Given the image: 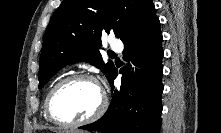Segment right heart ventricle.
Returning <instances> with one entry per match:
<instances>
[{"label":"right heart ventricle","mask_w":221,"mask_h":133,"mask_svg":"<svg viewBox=\"0 0 221 133\" xmlns=\"http://www.w3.org/2000/svg\"><path fill=\"white\" fill-rule=\"evenodd\" d=\"M44 116H45V118L47 119V117H46V115H45V112H44Z\"/></svg>","instance_id":"right-heart-ventricle-1"}]
</instances>
